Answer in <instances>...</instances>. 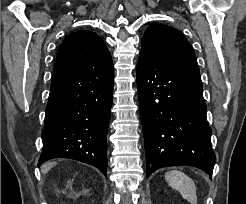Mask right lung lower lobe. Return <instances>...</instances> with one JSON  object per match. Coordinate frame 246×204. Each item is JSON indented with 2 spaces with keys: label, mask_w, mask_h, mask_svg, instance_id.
<instances>
[{
  "label": "right lung lower lobe",
  "mask_w": 246,
  "mask_h": 204,
  "mask_svg": "<svg viewBox=\"0 0 246 204\" xmlns=\"http://www.w3.org/2000/svg\"><path fill=\"white\" fill-rule=\"evenodd\" d=\"M113 84V67L53 75L38 167L53 158H70L106 176Z\"/></svg>",
  "instance_id": "98d812e1"
}]
</instances>
